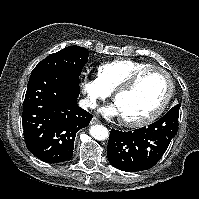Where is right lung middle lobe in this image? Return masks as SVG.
Here are the masks:
<instances>
[{
    "label": "right lung middle lobe",
    "instance_id": "obj_1",
    "mask_svg": "<svg viewBox=\"0 0 199 199\" xmlns=\"http://www.w3.org/2000/svg\"><path fill=\"white\" fill-rule=\"evenodd\" d=\"M88 55L86 48L68 46L39 62L31 75L43 71H62L79 81L81 71L88 61Z\"/></svg>",
    "mask_w": 199,
    "mask_h": 199
}]
</instances>
